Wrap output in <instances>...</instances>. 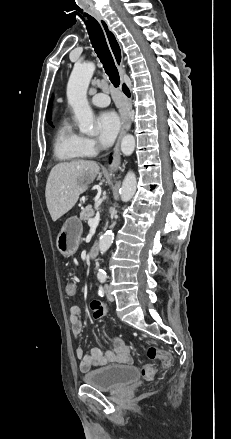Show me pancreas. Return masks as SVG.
I'll return each mask as SVG.
<instances>
[{
    "label": "pancreas",
    "mask_w": 231,
    "mask_h": 439,
    "mask_svg": "<svg viewBox=\"0 0 231 439\" xmlns=\"http://www.w3.org/2000/svg\"><path fill=\"white\" fill-rule=\"evenodd\" d=\"M94 214H95L94 209L92 208L91 205H88L84 209H82L80 213V220L88 221L94 216Z\"/></svg>",
    "instance_id": "1"
}]
</instances>
